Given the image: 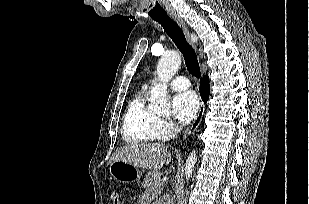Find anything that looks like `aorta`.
<instances>
[{
	"label": "aorta",
	"mask_w": 309,
	"mask_h": 204,
	"mask_svg": "<svg viewBox=\"0 0 309 204\" xmlns=\"http://www.w3.org/2000/svg\"><path fill=\"white\" fill-rule=\"evenodd\" d=\"M181 65V55L176 51L165 52L157 65L159 83L154 85L150 91L149 108L156 113L170 111L167 84L173 78ZM197 161L195 150H193L185 163V176L189 180Z\"/></svg>",
	"instance_id": "aorta-1"
}]
</instances>
